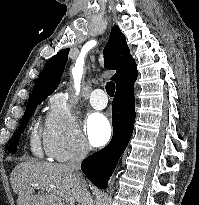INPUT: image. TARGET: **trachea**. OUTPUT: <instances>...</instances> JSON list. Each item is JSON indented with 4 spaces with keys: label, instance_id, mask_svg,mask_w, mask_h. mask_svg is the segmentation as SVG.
I'll return each instance as SVG.
<instances>
[{
    "label": "trachea",
    "instance_id": "obj_1",
    "mask_svg": "<svg viewBox=\"0 0 199 205\" xmlns=\"http://www.w3.org/2000/svg\"><path fill=\"white\" fill-rule=\"evenodd\" d=\"M106 92L110 97L114 96L115 93V84L113 82H108L105 86Z\"/></svg>",
    "mask_w": 199,
    "mask_h": 205
}]
</instances>
